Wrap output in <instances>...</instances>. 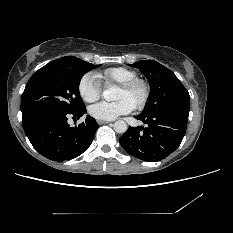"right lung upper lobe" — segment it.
<instances>
[{
  "label": "right lung upper lobe",
  "mask_w": 233,
  "mask_h": 233,
  "mask_svg": "<svg viewBox=\"0 0 233 233\" xmlns=\"http://www.w3.org/2000/svg\"><path fill=\"white\" fill-rule=\"evenodd\" d=\"M63 58H66V57H62V58H60V59H63ZM60 59H57V60H60Z\"/></svg>",
  "instance_id": "1"
}]
</instances>
